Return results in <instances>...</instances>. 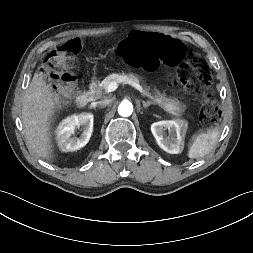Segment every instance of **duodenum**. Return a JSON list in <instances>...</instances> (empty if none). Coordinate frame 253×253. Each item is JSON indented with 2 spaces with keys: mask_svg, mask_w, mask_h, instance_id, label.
Here are the masks:
<instances>
[{
  "mask_svg": "<svg viewBox=\"0 0 253 253\" xmlns=\"http://www.w3.org/2000/svg\"><path fill=\"white\" fill-rule=\"evenodd\" d=\"M97 90V81H92L89 85L88 90L76 98V105L82 108L93 102L97 97Z\"/></svg>",
  "mask_w": 253,
  "mask_h": 253,
  "instance_id": "410a0bca",
  "label": "duodenum"
}]
</instances>
